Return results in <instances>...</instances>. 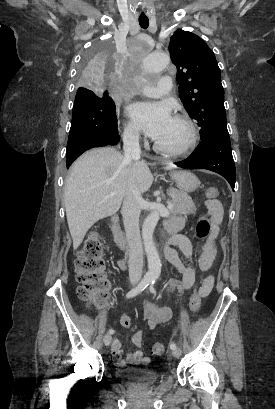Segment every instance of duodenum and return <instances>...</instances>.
<instances>
[{"instance_id":"1","label":"duodenum","mask_w":275,"mask_h":409,"mask_svg":"<svg viewBox=\"0 0 275 409\" xmlns=\"http://www.w3.org/2000/svg\"><path fill=\"white\" fill-rule=\"evenodd\" d=\"M112 232L114 235V239L116 244L122 249V250H126L127 249V241H126V237L123 233V231L121 230L119 223H118V217L117 216H113L112 217ZM178 230V226L175 224H168L166 226V231L168 233H174Z\"/></svg>"}]
</instances>
